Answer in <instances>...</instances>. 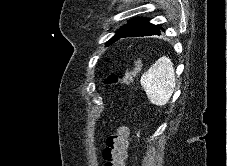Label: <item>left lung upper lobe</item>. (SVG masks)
<instances>
[{"label": "left lung upper lobe", "instance_id": "left-lung-upper-lobe-1", "mask_svg": "<svg viewBox=\"0 0 227 166\" xmlns=\"http://www.w3.org/2000/svg\"><path fill=\"white\" fill-rule=\"evenodd\" d=\"M133 21H134V20H133ZM133 21H130L127 25L122 26V27L117 31V34H119V33H121L122 31L128 29V28L132 25ZM117 34H116V35H117ZM116 35H115V36H116ZM115 36H113V37L107 42V45H109V44L112 42V40H113V38H114Z\"/></svg>", "mask_w": 227, "mask_h": 166}]
</instances>
